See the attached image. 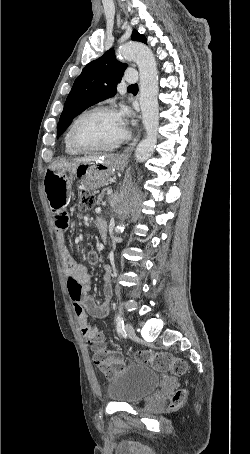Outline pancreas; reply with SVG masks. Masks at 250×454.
Here are the masks:
<instances>
[{
  "mask_svg": "<svg viewBox=\"0 0 250 454\" xmlns=\"http://www.w3.org/2000/svg\"><path fill=\"white\" fill-rule=\"evenodd\" d=\"M108 190H109V188H105V189L102 191V193L99 195V200H102V198H103V196H104V193H105L106 191H108Z\"/></svg>",
  "mask_w": 250,
  "mask_h": 454,
  "instance_id": "pancreas-1",
  "label": "pancreas"
}]
</instances>
